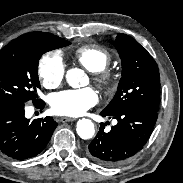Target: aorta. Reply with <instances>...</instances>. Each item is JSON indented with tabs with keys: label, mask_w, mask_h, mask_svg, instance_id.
Masks as SVG:
<instances>
[{
	"label": "aorta",
	"mask_w": 183,
	"mask_h": 183,
	"mask_svg": "<svg viewBox=\"0 0 183 183\" xmlns=\"http://www.w3.org/2000/svg\"><path fill=\"white\" fill-rule=\"evenodd\" d=\"M66 81L73 88H79L87 84V76L78 68L69 69L66 73ZM76 131L80 138L90 139L95 133L94 124L89 119H81L77 122Z\"/></svg>",
	"instance_id": "1"
}]
</instances>
